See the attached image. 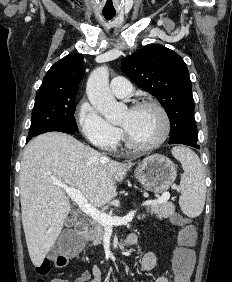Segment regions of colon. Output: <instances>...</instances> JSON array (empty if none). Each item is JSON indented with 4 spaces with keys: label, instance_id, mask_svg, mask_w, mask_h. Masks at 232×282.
Listing matches in <instances>:
<instances>
[{
    "label": "colon",
    "instance_id": "1",
    "mask_svg": "<svg viewBox=\"0 0 232 282\" xmlns=\"http://www.w3.org/2000/svg\"><path fill=\"white\" fill-rule=\"evenodd\" d=\"M173 220L180 227L178 235L179 246L176 248L173 257V282H189L193 265L191 247L195 241V230L186 219L180 216H175ZM80 249V239L71 231H64L50 257L44 259L36 266L34 282H45L44 277L50 273L52 265L56 267L65 266L71 258L77 255Z\"/></svg>",
    "mask_w": 232,
    "mask_h": 282
}]
</instances>
